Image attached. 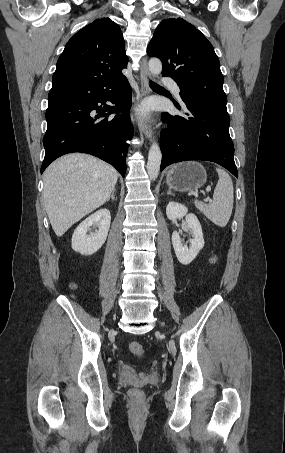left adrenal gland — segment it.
Instances as JSON below:
<instances>
[{
  "label": "left adrenal gland",
  "instance_id": "a2214340",
  "mask_svg": "<svg viewBox=\"0 0 285 453\" xmlns=\"http://www.w3.org/2000/svg\"><path fill=\"white\" fill-rule=\"evenodd\" d=\"M167 195H173L174 196V194L171 192V190H168Z\"/></svg>",
  "mask_w": 285,
  "mask_h": 453
}]
</instances>
